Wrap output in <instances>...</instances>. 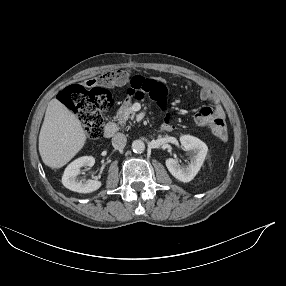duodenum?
<instances>
[{"label": "duodenum", "instance_id": "obj_1", "mask_svg": "<svg viewBox=\"0 0 286 286\" xmlns=\"http://www.w3.org/2000/svg\"><path fill=\"white\" fill-rule=\"evenodd\" d=\"M117 132V125L114 122H109L106 124L104 131H103V135L106 138H111L113 137Z\"/></svg>", "mask_w": 286, "mask_h": 286}]
</instances>
